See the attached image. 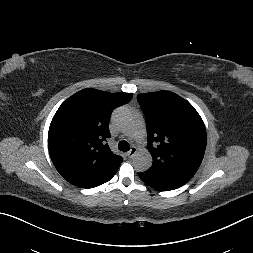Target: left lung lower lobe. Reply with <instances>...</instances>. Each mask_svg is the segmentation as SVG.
I'll return each mask as SVG.
<instances>
[{"label": "left lung lower lobe", "mask_w": 253, "mask_h": 253, "mask_svg": "<svg viewBox=\"0 0 253 253\" xmlns=\"http://www.w3.org/2000/svg\"><path fill=\"white\" fill-rule=\"evenodd\" d=\"M138 175L144 183L151 186L152 188L162 191L173 190L186 184L176 180L153 177L145 173H138Z\"/></svg>", "instance_id": "obj_1"}]
</instances>
